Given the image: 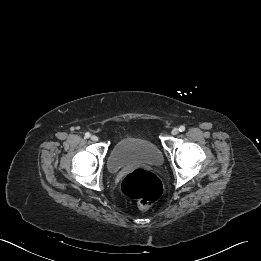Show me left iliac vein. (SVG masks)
I'll use <instances>...</instances> for the list:
<instances>
[{
    "label": "left iliac vein",
    "mask_w": 261,
    "mask_h": 261,
    "mask_svg": "<svg viewBox=\"0 0 261 261\" xmlns=\"http://www.w3.org/2000/svg\"><path fill=\"white\" fill-rule=\"evenodd\" d=\"M171 133H172V135H177L179 133L178 128H173Z\"/></svg>",
    "instance_id": "left-iliac-vein-1"
}]
</instances>
